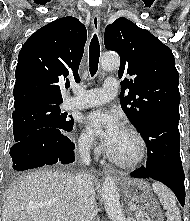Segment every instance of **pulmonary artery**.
Masks as SVG:
<instances>
[{
    "label": "pulmonary artery",
    "mask_w": 190,
    "mask_h": 221,
    "mask_svg": "<svg viewBox=\"0 0 190 221\" xmlns=\"http://www.w3.org/2000/svg\"><path fill=\"white\" fill-rule=\"evenodd\" d=\"M118 91V82L114 78L104 81L101 88L85 90L79 86H73L74 97L64 102V107L68 110L84 109L101 105L112 100Z\"/></svg>",
    "instance_id": "1"
}]
</instances>
